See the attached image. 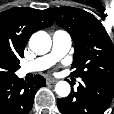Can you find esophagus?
Instances as JSON below:
<instances>
[{"instance_id":"esophagus-1","label":"esophagus","mask_w":114,"mask_h":114,"mask_svg":"<svg viewBox=\"0 0 114 114\" xmlns=\"http://www.w3.org/2000/svg\"><path fill=\"white\" fill-rule=\"evenodd\" d=\"M56 82H57V79H54V78H47L46 79L47 84H53V83H56Z\"/></svg>"}]
</instances>
